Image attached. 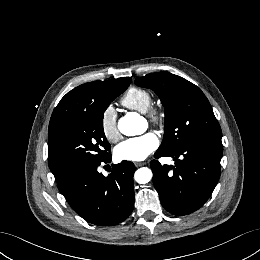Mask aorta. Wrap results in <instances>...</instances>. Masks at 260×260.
<instances>
[{"mask_svg": "<svg viewBox=\"0 0 260 260\" xmlns=\"http://www.w3.org/2000/svg\"><path fill=\"white\" fill-rule=\"evenodd\" d=\"M118 129L126 136H134L143 131L140 118L133 115L120 118ZM134 179L139 184H146L152 179V171L147 167L139 168L134 174Z\"/></svg>", "mask_w": 260, "mask_h": 260, "instance_id": "obj_1", "label": "aorta"}]
</instances>
